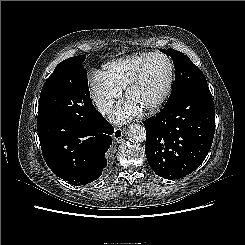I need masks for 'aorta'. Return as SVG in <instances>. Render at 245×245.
<instances>
[{"label": "aorta", "mask_w": 245, "mask_h": 245, "mask_svg": "<svg viewBox=\"0 0 245 245\" xmlns=\"http://www.w3.org/2000/svg\"><path fill=\"white\" fill-rule=\"evenodd\" d=\"M127 136L133 143L143 142L146 139V130L140 124L130 125L127 130Z\"/></svg>", "instance_id": "762f6f07"}]
</instances>
